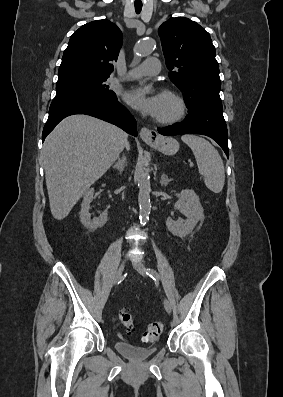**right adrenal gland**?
<instances>
[{"label":"right adrenal gland","mask_w":283,"mask_h":397,"mask_svg":"<svg viewBox=\"0 0 283 397\" xmlns=\"http://www.w3.org/2000/svg\"><path fill=\"white\" fill-rule=\"evenodd\" d=\"M126 165V157L123 155L122 158L118 159V162L116 164H114L112 167L117 169L120 173L123 172L124 168Z\"/></svg>","instance_id":"2a0ac1e0"}]
</instances>
